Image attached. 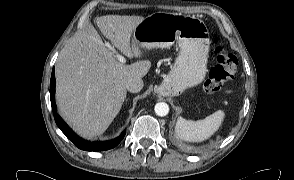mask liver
I'll list each match as a JSON object with an SVG mask.
<instances>
[{"mask_svg":"<svg viewBox=\"0 0 294 180\" xmlns=\"http://www.w3.org/2000/svg\"><path fill=\"white\" fill-rule=\"evenodd\" d=\"M142 16L106 15L96 19L101 33L128 58L142 55L131 35ZM151 62L120 63L92 24L71 37L55 65L56 102L61 116L83 138L103 134L119 113L126 84L142 79Z\"/></svg>","mask_w":294,"mask_h":180,"instance_id":"6515ba94","label":"liver"}]
</instances>
